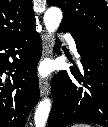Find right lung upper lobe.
<instances>
[{"mask_svg": "<svg viewBox=\"0 0 108 127\" xmlns=\"http://www.w3.org/2000/svg\"><path fill=\"white\" fill-rule=\"evenodd\" d=\"M34 27L31 0H0V39L20 36Z\"/></svg>", "mask_w": 108, "mask_h": 127, "instance_id": "1", "label": "right lung upper lobe"}]
</instances>
